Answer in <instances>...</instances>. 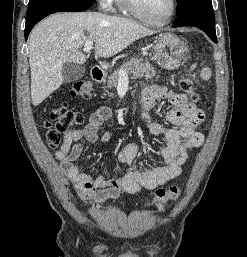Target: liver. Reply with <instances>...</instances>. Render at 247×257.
I'll list each match as a JSON object with an SVG mask.
<instances>
[{"label":"liver","instance_id":"obj_1","mask_svg":"<svg viewBox=\"0 0 247 257\" xmlns=\"http://www.w3.org/2000/svg\"><path fill=\"white\" fill-rule=\"evenodd\" d=\"M154 33L133 20L98 12L49 16L29 37L32 104L39 105L62 85V67L66 62L85 63L81 47L86 41L95 42L97 56L108 58Z\"/></svg>","mask_w":247,"mask_h":257}]
</instances>
